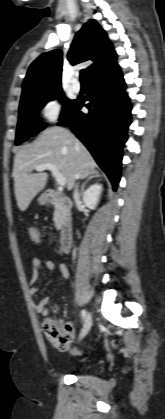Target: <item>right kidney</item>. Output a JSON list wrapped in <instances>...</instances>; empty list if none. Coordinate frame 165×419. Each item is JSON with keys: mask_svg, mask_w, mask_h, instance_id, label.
Here are the masks:
<instances>
[{"mask_svg": "<svg viewBox=\"0 0 165 419\" xmlns=\"http://www.w3.org/2000/svg\"><path fill=\"white\" fill-rule=\"evenodd\" d=\"M101 192H102L101 184H94L90 186L83 194L84 204L91 210H94L100 199Z\"/></svg>", "mask_w": 165, "mask_h": 419, "instance_id": "right-kidney-1", "label": "right kidney"}]
</instances>
